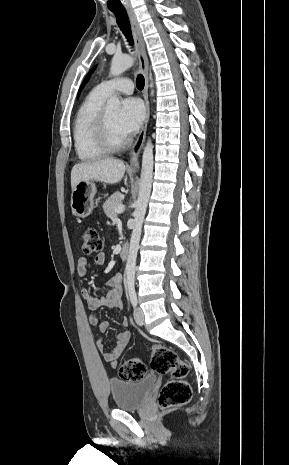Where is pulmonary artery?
I'll return each mask as SVG.
<instances>
[{"instance_id": "e3ab8cb5", "label": "pulmonary artery", "mask_w": 289, "mask_h": 465, "mask_svg": "<svg viewBox=\"0 0 289 465\" xmlns=\"http://www.w3.org/2000/svg\"><path fill=\"white\" fill-rule=\"evenodd\" d=\"M96 88L108 97L113 93L131 94L134 90V84L129 78H119L103 81Z\"/></svg>"}]
</instances>
